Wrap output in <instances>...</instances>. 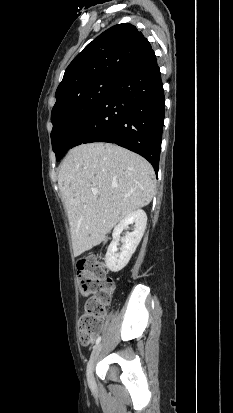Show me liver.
Returning <instances> with one entry per match:
<instances>
[{
  "label": "liver",
  "instance_id": "liver-1",
  "mask_svg": "<svg viewBox=\"0 0 233 413\" xmlns=\"http://www.w3.org/2000/svg\"><path fill=\"white\" fill-rule=\"evenodd\" d=\"M58 185L74 256H79L99 245L119 221L151 202L155 173L146 159L123 147L88 143L68 152L59 166Z\"/></svg>",
  "mask_w": 233,
  "mask_h": 413
}]
</instances>
